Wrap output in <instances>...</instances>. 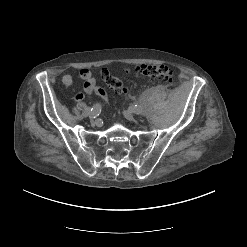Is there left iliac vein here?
Segmentation results:
<instances>
[{
	"label": "left iliac vein",
	"mask_w": 247,
	"mask_h": 247,
	"mask_svg": "<svg viewBox=\"0 0 247 247\" xmlns=\"http://www.w3.org/2000/svg\"><path fill=\"white\" fill-rule=\"evenodd\" d=\"M123 114L128 120L130 121L134 120L133 114L130 112V110H125Z\"/></svg>",
	"instance_id": "left-iliac-vein-1"
}]
</instances>
